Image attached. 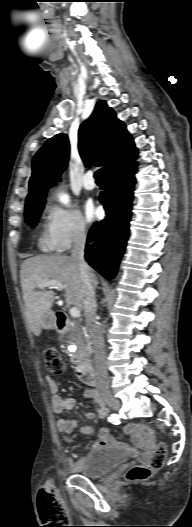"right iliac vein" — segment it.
Masks as SVG:
<instances>
[{"instance_id": "right-iliac-vein-1", "label": "right iliac vein", "mask_w": 192, "mask_h": 527, "mask_svg": "<svg viewBox=\"0 0 192 527\" xmlns=\"http://www.w3.org/2000/svg\"><path fill=\"white\" fill-rule=\"evenodd\" d=\"M103 399L111 409L118 410L120 408V402L115 397H113L111 393L105 392L103 394Z\"/></svg>"}]
</instances>
